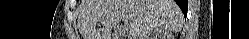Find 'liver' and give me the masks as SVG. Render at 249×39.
Masks as SVG:
<instances>
[{"instance_id": "liver-1", "label": "liver", "mask_w": 249, "mask_h": 39, "mask_svg": "<svg viewBox=\"0 0 249 39\" xmlns=\"http://www.w3.org/2000/svg\"><path fill=\"white\" fill-rule=\"evenodd\" d=\"M79 14L83 39H117L112 30L120 21L125 22L127 39H149L152 33L177 32L183 20L174 0H84Z\"/></svg>"}]
</instances>
